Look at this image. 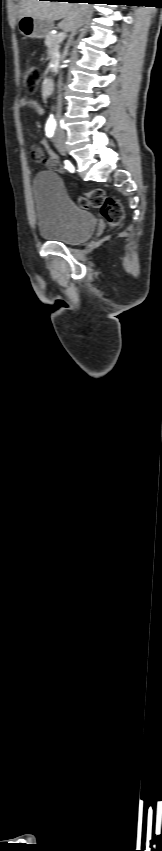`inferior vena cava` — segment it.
I'll return each mask as SVG.
<instances>
[{
  "label": "inferior vena cava",
  "instance_id": "inferior-vena-cava-1",
  "mask_svg": "<svg viewBox=\"0 0 162 851\" xmlns=\"http://www.w3.org/2000/svg\"><path fill=\"white\" fill-rule=\"evenodd\" d=\"M85 5H87V4H85ZM83 11H84L83 12L84 16H86V14H87L86 9H84ZM75 33H76V30L72 31V34H71V37H70L71 40L73 39V36L75 35ZM61 92H62V84L60 83L59 94H58V102H57V113H56V120L57 121L60 120L61 110H62V93ZM56 131L59 132V133H63L59 124L57 125Z\"/></svg>",
  "mask_w": 162,
  "mask_h": 851
}]
</instances>
